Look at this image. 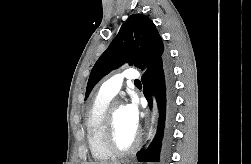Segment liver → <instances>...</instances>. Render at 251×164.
Masks as SVG:
<instances>
[{"mask_svg":"<svg viewBox=\"0 0 251 164\" xmlns=\"http://www.w3.org/2000/svg\"><path fill=\"white\" fill-rule=\"evenodd\" d=\"M90 164H119L118 162H100V163H90Z\"/></svg>","mask_w":251,"mask_h":164,"instance_id":"6515ba94","label":"liver"}]
</instances>
